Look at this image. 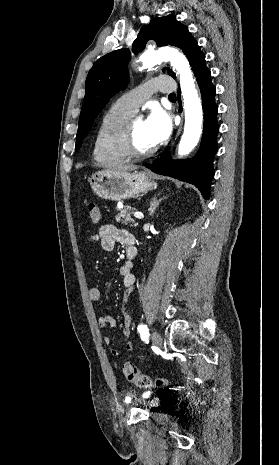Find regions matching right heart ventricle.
Listing matches in <instances>:
<instances>
[{"instance_id":"right-heart-ventricle-1","label":"right heart ventricle","mask_w":279,"mask_h":465,"mask_svg":"<svg viewBox=\"0 0 279 465\" xmlns=\"http://www.w3.org/2000/svg\"><path fill=\"white\" fill-rule=\"evenodd\" d=\"M132 115L133 112L120 106L117 102L104 113L96 131L92 150V156L96 162L109 164L124 158L112 150L111 140Z\"/></svg>"}]
</instances>
